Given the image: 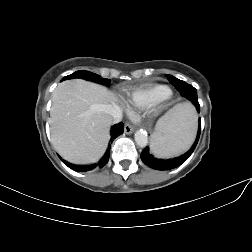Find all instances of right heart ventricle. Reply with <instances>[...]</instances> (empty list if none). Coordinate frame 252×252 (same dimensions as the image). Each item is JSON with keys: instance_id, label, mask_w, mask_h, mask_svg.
I'll list each match as a JSON object with an SVG mask.
<instances>
[{"instance_id": "e07e8e85", "label": "right heart ventricle", "mask_w": 252, "mask_h": 252, "mask_svg": "<svg viewBox=\"0 0 252 252\" xmlns=\"http://www.w3.org/2000/svg\"><path fill=\"white\" fill-rule=\"evenodd\" d=\"M126 94L131 107L146 110L168 99L171 90L165 85L149 84L128 90Z\"/></svg>"}]
</instances>
